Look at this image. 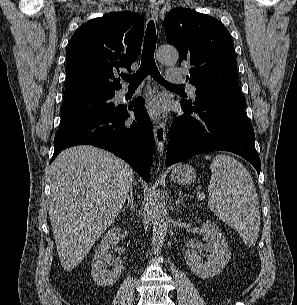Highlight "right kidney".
<instances>
[{
	"label": "right kidney",
	"instance_id": "obj_1",
	"mask_svg": "<svg viewBox=\"0 0 297 305\" xmlns=\"http://www.w3.org/2000/svg\"><path fill=\"white\" fill-rule=\"evenodd\" d=\"M117 243V231L114 228L108 230L100 245L95 250L92 259L91 275L94 282L101 287L112 286L116 283L123 269V263L120 258L115 259L113 269H106V265L113 260L109 250Z\"/></svg>",
	"mask_w": 297,
	"mask_h": 305
}]
</instances>
